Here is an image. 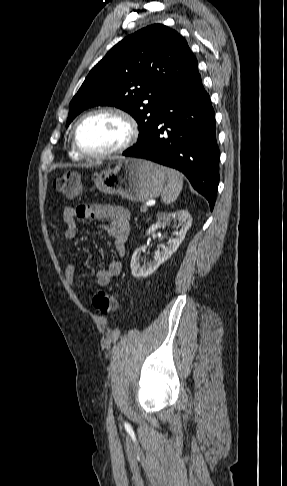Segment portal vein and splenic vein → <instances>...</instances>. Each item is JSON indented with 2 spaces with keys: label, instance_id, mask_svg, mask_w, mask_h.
<instances>
[{
  "label": "portal vein and splenic vein",
  "instance_id": "portal-vein-and-splenic-vein-1",
  "mask_svg": "<svg viewBox=\"0 0 287 486\" xmlns=\"http://www.w3.org/2000/svg\"><path fill=\"white\" fill-rule=\"evenodd\" d=\"M148 208H147V205H144L141 207V211L142 212H147Z\"/></svg>",
  "mask_w": 287,
  "mask_h": 486
}]
</instances>
